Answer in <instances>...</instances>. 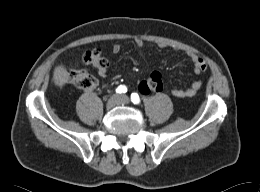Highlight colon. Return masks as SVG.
Listing matches in <instances>:
<instances>
[{"instance_id":"1","label":"colon","mask_w":260,"mask_h":192,"mask_svg":"<svg viewBox=\"0 0 260 192\" xmlns=\"http://www.w3.org/2000/svg\"><path fill=\"white\" fill-rule=\"evenodd\" d=\"M83 61L85 64L92 66L93 68L107 67L108 61L101 53L94 49L85 52L83 55ZM66 79L72 83L78 89L83 91H89L95 88L97 82L96 79L83 69H70L66 72ZM146 94L151 92H159L163 88V82L161 74L158 72L151 73L147 79H145Z\"/></svg>"}]
</instances>
